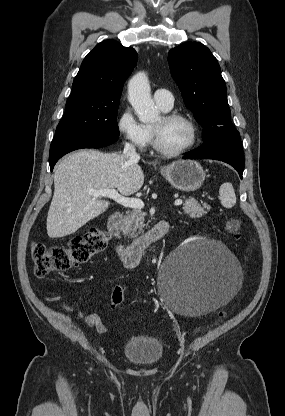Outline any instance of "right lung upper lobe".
<instances>
[{"label": "right lung upper lobe", "instance_id": "obj_1", "mask_svg": "<svg viewBox=\"0 0 285 416\" xmlns=\"http://www.w3.org/2000/svg\"><path fill=\"white\" fill-rule=\"evenodd\" d=\"M137 62L132 47L105 40L84 58L69 97L81 100L120 99L123 83Z\"/></svg>", "mask_w": 285, "mask_h": 416}]
</instances>
